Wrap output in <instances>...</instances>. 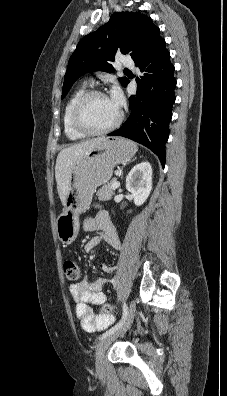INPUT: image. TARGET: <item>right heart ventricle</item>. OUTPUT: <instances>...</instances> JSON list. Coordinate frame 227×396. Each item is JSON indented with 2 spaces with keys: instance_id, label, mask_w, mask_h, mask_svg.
I'll return each instance as SVG.
<instances>
[{
  "instance_id": "e07e8e85",
  "label": "right heart ventricle",
  "mask_w": 227,
  "mask_h": 396,
  "mask_svg": "<svg viewBox=\"0 0 227 396\" xmlns=\"http://www.w3.org/2000/svg\"><path fill=\"white\" fill-rule=\"evenodd\" d=\"M86 91L85 85L79 87L68 99L62 116L63 129L69 140L77 141L86 137V134L77 130L73 124L72 113L78 98Z\"/></svg>"
}]
</instances>
